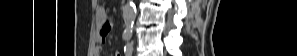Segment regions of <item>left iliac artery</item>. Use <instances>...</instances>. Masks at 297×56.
<instances>
[{"label":"left iliac artery","instance_id":"left-iliac-artery-1","mask_svg":"<svg viewBox=\"0 0 297 56\" xmlns=\"http://www.w3.org/2000/svg\"><path fill=\"white\" fill-rule=\"evenodd\" d=\"M124 51H125V55H126V56H131V55H132V51H133L132 43H128V44L125 46Z\"/></svg>","mask_w":297,"mask_h":56}]
</instances>
